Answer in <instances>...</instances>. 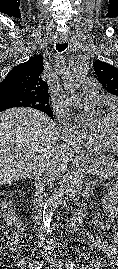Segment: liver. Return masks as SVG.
<instances>
[{"label":"liver","mask_w":118,"mask_h":269,"mask_svg":"<svg viewBox=\"0 0 118 269\" xmlns=\"http://www.w3.org/2000/svg\"><path fill=\"white\" fill-rule=\"evenodd\" d=\"M57 139L56 123L40 111L11 108L1 112L0 186L34 176L42 162L52 159L57 174L65 171L69 157L56 145Z\"/></svg>","instance_id":"obj_1"}]
</instances>
